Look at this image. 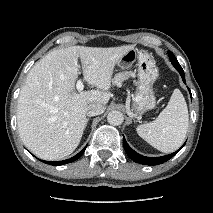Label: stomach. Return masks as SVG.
Returning <instances> with one entry per match:
<instances>
[{"label": "stomach", "mask_w": 213, "mask_h": 213, "mask_svg": "<svg viewBox=\"0 0 213 213\" xmlns=\"http://www.w3.org/2000/svg\"><path fill=\"white\" fill-rule=\"evenodd\" d=\"M137 62L138 85L133 95V108L137 115L153 109L156 99L153 84L158 77V68L154 59L145 50L131 49L117 63L121 69H128Z\"/></svg>", "instance_id": "1"}]
</instances>
